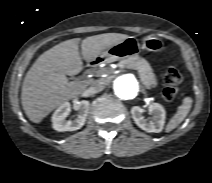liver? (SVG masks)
Instances as JSON below:
<instances>
[{
  "label": "liver",
  "mask_w": 212,
  "mask_h": 183,
  "mask_svg": "<svg viewBox=\"0 0 212 183\" xmlns=\"http://www.w3.org/2000/svg\"><path fill=\"white\" fill-rule=\"evenodd\" d=\"M120 33H105L82 40L81 51L87 62L102 57L104 51L127 38ZM79 38L61 42L41 54L27 72L22 86L21 101L27 117L39 123L56 107L79 96L90 81L67 80L66 75L80 73L83 62L78 51Z\"/></svg>",
  "instance_id": "1"
}]
</instances>
